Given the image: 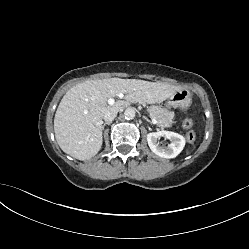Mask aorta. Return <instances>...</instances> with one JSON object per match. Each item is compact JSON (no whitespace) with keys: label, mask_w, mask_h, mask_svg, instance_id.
Here are the masks:
<instances>
[{"label":"aorta","mask_w":249,"mask_h":249,"mask_svg":"<svg viewBox=\"0 0 249 249\" xmlns=\"http://www.w3.org/2000/svg\"><path fill=\"white\" fill-rule=\"evenodd\" d=\"M136 115V112L133 108H127L125 111H124V117L126 120H132L134 119Z\"/></svg>","instance_id":"obj_1"}]
</instances>
